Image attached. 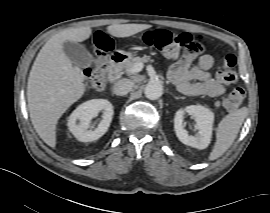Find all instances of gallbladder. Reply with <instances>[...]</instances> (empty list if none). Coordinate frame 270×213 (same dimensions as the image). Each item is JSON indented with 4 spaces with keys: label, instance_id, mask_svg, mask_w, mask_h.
<instances>
[{
    "label": "gallbladder",
    "instance_id": "gallbladder-1",
    "mask_svg": "<svg viewBox=\"0 0 270 213\" xmlns=\"http://www.w3.org/2000/svg\"><path fill=\"white\" fill-rule=\"evenodd\" d=\"M62 47L72 64L80 68H86L93 62L92 54L80 43L66 41Z\"/></svg>",
    "mask_w": 270,
    "mask_h": 213
}]
</instances>
